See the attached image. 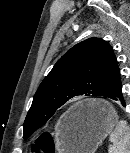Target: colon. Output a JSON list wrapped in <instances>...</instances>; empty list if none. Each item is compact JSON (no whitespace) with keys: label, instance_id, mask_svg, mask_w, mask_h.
I'll return each mask as SVG.
<instances>
[{"label":"colon","instance_id":"obj_1","mask_svg":"<svg viewBox=\"0 0 130 153\" xmlns=\"http://www.w3.org/2000/svg\"><path fill=\"white\" fill-rule=\"evenodd\" d=\"M53 148L54 145L52 135L45 133L36 139L32 150L35 153H53Z\"/></svg>","mask_w":130,"mask_h":153}]
</instances>
